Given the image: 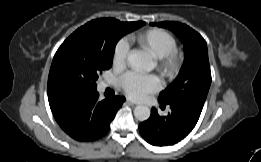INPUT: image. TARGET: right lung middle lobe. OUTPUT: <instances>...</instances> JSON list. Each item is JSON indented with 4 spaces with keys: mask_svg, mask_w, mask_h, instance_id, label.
<instances>
[{
    "mask_svg": "<svg viewBox=\"0 0 261 162\" xmlns=\"http://www.w3.org/2000/svg\"><path fill=\"white\" fill-rule=\"evenodd\" d=\"M144 24L102 18L73 32L53 58L47 87L49 102L64 103L97 92L98 75L112 66L118 40Z\"/></svg>",
    "mask_w": 261,
    "mask_h": 162,
    "instance_id": "1",
    "label": "right lung middle lobe"
}]
</instances>
